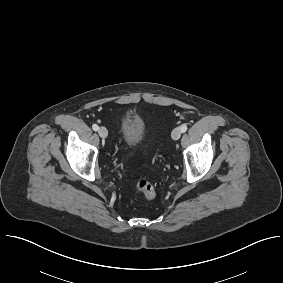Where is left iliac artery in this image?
<instances>
[{"mask_svg":"<svg viewBox=\"0 0 283 283\" xmlns=\"http://www.w3.org/2000/svg\"><path fill=\"white\" fill-rule=\"evenodd\" d=\"M180 129H181L182 133L186 132L187 125L186 124L181 125Z\"/></svg>","mask_w":283,"mask_h":283,"instance_id":"obj_1","label":"left iliac artery"}]
</instances>
